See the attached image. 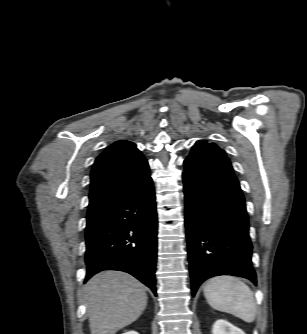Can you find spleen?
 <instances>
[{"label": "spleen", "mask_w": 307, "mask_h": 334, "mask_svg": "<svg viewBox=\"0 0 307 334\" xmlns=\"http://www.w3.org/2000/svg\"><path fill=\"white\" fill-rule=\"evenodd\" d=\"M208 304L222 312L230 313L251 323L256 317V303L251 289L241 280L232 276H217L204 287Z\"/></svg>", "instance_id": "spleen-1"}]
</instances>
